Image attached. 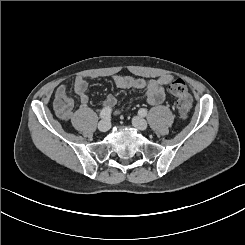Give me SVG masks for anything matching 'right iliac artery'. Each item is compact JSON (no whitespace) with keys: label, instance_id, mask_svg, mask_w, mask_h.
Returning <instances> with one entry per match:
<instances>
[{"label":"right iliac artery","instance_id":"82829eb1","mask_svg":"<svg viewBox=\"0 0 245 245\" xmlns=\"http://www.w3.org/2000/svg\"><path fill=\"white\" fill-rule=\"evenodd\" d=\"M111 115V109L109 107H105L100 112V118L107 119Z\"/></svg>","mask_w":245,"mask_h":245}]
</instances>
